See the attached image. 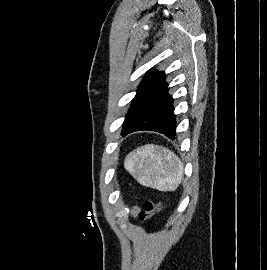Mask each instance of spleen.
Listing matches in <instances>:
<instances>
[{
  "instance_id": "1",
  "label": "spleen",
  "mask_w": 267,
  "mask_h": 270,
  "mask_svg": "<svg viewBox=\"0 0 267 270\" xmlns=\"http://www.w3.org/2000/svg\"><path fill=\"white\" fill-rule=\"evenodd\" d=\"M124 167L139 184L160 191L175 190L183 175L180 159L171 150L154 144L129 153Z\"/></svg>"
}]
</instances>
